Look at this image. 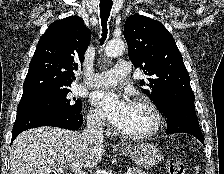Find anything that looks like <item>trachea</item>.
Returning <instances> with one entry per match:
<instances>
[{"label": "trachea", "instance_id": "3493384b", "mask_svg": "<svg viewBox=\"0 0 224 174\" xmlns=\"http://www.w3.org/2000/svg\"><path fill=\"white\" fill-rule=\"evenodd\" d=\"M112 5H113V2L111 0L100 1V18H101V25H102L101 41H104L107 37V21L110 16Z\"/></svg>", "mask_w": 224, "mask_h": 174}]
</instances>
